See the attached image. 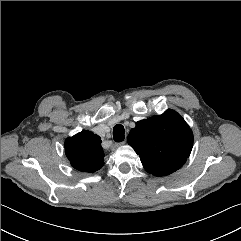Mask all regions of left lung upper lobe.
Masks as SVG:
<instances>
[{"mask_svg":"<svg viewBox=\"0 0 241 241\" xmlns=\"http://www.w3.org/2000/svg\"><path fill=\"white\" fill-rule=\"evenodd\" d=\"M128 144L140 156L147 172L166 176L186 162L193 146V133L178 113L168 110L136 122L128 135Z\"/></svg>","mask_w":241,"mask_h":241,"instance_id":"obj_1","label":"left lung upper lobe"}]
</instances>
